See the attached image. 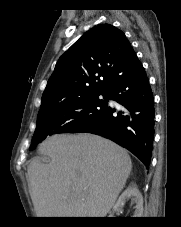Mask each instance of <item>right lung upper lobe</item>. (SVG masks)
<instances>
[{
  "instance_id": "right-lung-upper-lobe-1",
  "label": "right lung upper lobe",
  "mask_w": 181,
  "mask_h": 227,
  "mask_svg": "<svg viewBox=\"0 0 181 227\" xmlns=\"http://www.w3.org/2000/svg\"><path fill=\"white\" fill-rule=\"evenodd\" d=\"M135 56L121 30L110 24L93 27L59 58L43 92L40 110L108 91Z\"/></svg>"
}]
</instances>
